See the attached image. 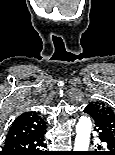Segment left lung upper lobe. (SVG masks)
<instances>
[{"label":"left lung upper lobe","mask_w":115,"mask_h":155,"mask_svg":"<svg viewBox=\"0 0 115 155\" xmlns=\"http://www.w3.org/2000/svg\"><path fill=\"white\" fill-rule=\"evenodd\" d=\"M89 105H94L98 109L100 117L104 121L111 139L115 141V112L104 104L90 103ZM110 152H115V142L113 143V147L107 149V152L104 153Z\"/></svg>","instance_id":"5c2ea615"}]
</instances>
